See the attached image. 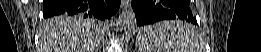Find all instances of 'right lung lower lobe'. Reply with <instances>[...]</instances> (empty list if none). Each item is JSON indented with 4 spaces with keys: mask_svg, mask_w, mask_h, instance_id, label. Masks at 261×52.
I'll return each instance as SVG.
<instances>
[{
    "mask_svg": "<svg viewBox=\"0 0 261 52\" xmlns=\"http://www.w3.org/2000/svg\"><path fill=\"white\" fill-rule=\"evenodd\" d=\"M121 0H44V18L56 15H83L99 22L120 7Z\"/></svg>",
    "mask_w": 261,
    "mask_h": 52,
    "instance_id": "98d812e1",
    "label": "right lung lower lobe"
}]
</instances>
